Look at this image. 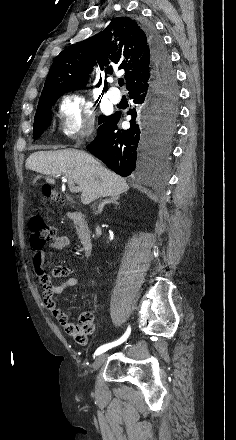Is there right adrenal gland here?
I'll return each mask as SVG.
<instances>
[{"mask_svg": "<svg viewBox=\"0 0 236 440\" xmlns=\"http://www.w3.org/2000/svg\"><path fill=\"white\" fill-rule=\"evenodd\" d=\"M119 196H112L110 198L105 199L99 206H98V210L97 213H101L103 211V208L106 204H116L118 205L119 202Z\"/></svg>", "mask_w": 236, "mask_h": 440, "instance_id": "2a0ac1e0", "label": "right adrenal gland"}]
</instances>
